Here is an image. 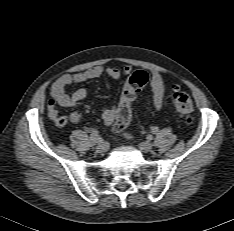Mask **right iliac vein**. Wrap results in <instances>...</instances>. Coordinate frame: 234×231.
I'll return each instance as SVG.
<instances>
[{
  "label": "right iliac vein",
  "instance_id": "63e3f726",
  "mask_svg": "<svg viewBox=\"0 0 234 231\" xmlns=\"http://www.w3.org/2000/svg\"><path fill=\"white\" fill-rule=\"evenodd\" d=\"M108 143L107 142H100L97 146H96V151L98 153H103L106 152L108 149Z\"/></svg>",
  "mask_w": 234,
  "mask_h": 231
}]
</instances>
